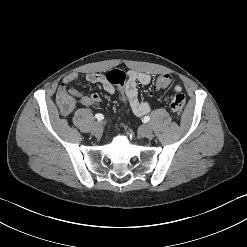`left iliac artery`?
Segmentation results:
<instances>
[{"label": "left iliac artery", "instance_id": "obj_1", "mask_svg": "<svg viewBox=\"0 0 247 247\" xmlns=\"http://www.w3.org/2000/svg\"><path fill=\"white\" fill-rule=\"evenodd\" d=\"M150 120V117L149 116H145L144 117V122H148Z\"/></svg>", "mask_w": 247, "mask_h": 247}]
</instances>
